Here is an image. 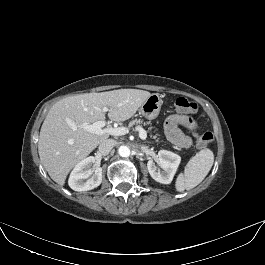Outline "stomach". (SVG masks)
Returning <instances> with one entry per match:
<instances>
[{"instance_id": "stomach-1", "label": "stomach", "mask_w": 265, "mask_h": 265, "mask_svg": "<svg viewBox=\"0 0 265 265\" xmlns=\"http://www.w3.org/2000/svg\"><path fill=\"white\" fill-rule=\"evenodd\" d=\"M162 106V99L159 94H151L150 97L142 104L139 113L148 120L158 117Z\"/></svg>"}]
</instances>
